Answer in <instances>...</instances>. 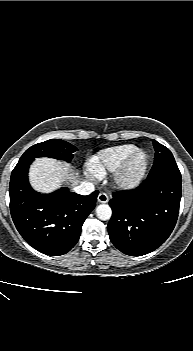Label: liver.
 Instances as JSON below:
<instances>
[{"mask_svg":"<svg viewBox=\"0 0 193 351\" xmlns=\"http://www.w3.org/2000/svg\"><path fill=\"white\" fill-rule=\"evenodd\" d=\"M83 176L85 177L74 172L70 164L52 158H37L29 169L31 186L45 194L56 191L65 183L77 186L81 180L87 178L86 173Z\"/></svg>","mask_w":193,"mask_h":351,"instance_id":"1","label":"liver"}]
</instances>
